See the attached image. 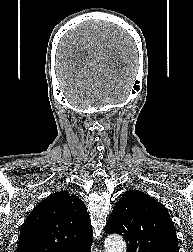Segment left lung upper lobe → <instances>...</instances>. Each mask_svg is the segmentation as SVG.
<instances>
[{"label": "left lung upper lobe", "instance_id": "left-lung-upper-lobe-1", "mask_svg": "<svg viewBox=\"0 0 193 252\" xmlns=\"http://www.w3.org/2000/svg\"><path fill=\"white\" fill-rule=\"evenodd\" d=\"M127 242V252H179L176 229L167 209L140 191L125 192L105 226Z\"/></svg>", "mask_w": 193, "mask_h": 252}]
</instances>
